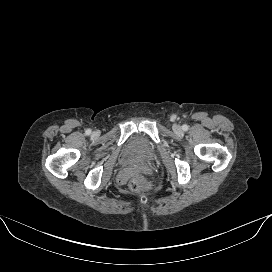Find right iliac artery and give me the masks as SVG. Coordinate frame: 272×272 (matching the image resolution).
Masks as SVG:
<instances>
[{"label": "right iliac artery", "instance_id": "1", "mask_svg": "<svg viewBox=\"0 0 272 272\" xmlns=\"http://www.w3.org/2000/svg\"><path fill=\"white\" fill-rule=\"evenodd\" d=\"M87 135L91 134V130L90 129H87L86 132H85Z\"/></svg>", "mask_w": 272, "mask_h": 272}]
</instances>
